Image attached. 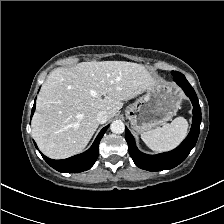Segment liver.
Wrapping results in <instances>:
<instances>
[{
	"mask_svg": "<svg viewBox=\"0 0 224 224\" xmlns=\"http://www.w3.org/2000/svg\"><path fill=\"white\" fill-rule=\"evenodd\" d=\"M147 69L126 61L82 62L52 71L41 87L32 118V137L43 154L65 159L82 152L99 123L157 84Z\"/></svg>",
	"mask_w": 224,
	"mask_h": 224,
	"instance_id": "obj_1",
	"label": "liver"
}]
</instances>
